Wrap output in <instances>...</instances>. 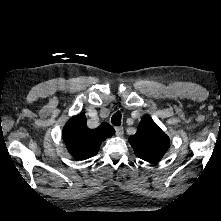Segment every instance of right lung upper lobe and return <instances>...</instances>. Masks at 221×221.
Segmentation results:
<instances>
[{
    "mask_svg": "<svg viewBox=\"0 0 221 221\" xmlns=\"http://www.w3.org/2000/svg\"><path fill=\"white\" fill-rule=\"evenodd\" d=\"M114 133V128L105 122L96 129H89L85 114L80 113L64 126L63 139L74 158L85 160L96 155L101 143Z\"/></svg>",
    "mask_w": 221,
    "mask_h": 221,
    "instance_id": "obj_1",
    "label": "right lung upper lobe"
}]
</instances>
